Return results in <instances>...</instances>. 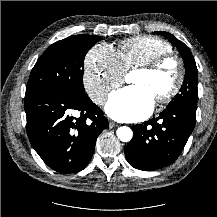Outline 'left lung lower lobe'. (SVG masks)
<instances>
[{
    "label": "left lung lower lobe",
    "mask_w": 217,
    "mask_h": 217,
    "mask_svg": "<svg viewBox=\"0 0 217 217\" xmlns=\"http://www.w3.org/2000/svg\"><path fill=\"white\" fill-rule=\"evenodd\" d=\"M196 108L167 107L158 117L133 126V138L125 147L130 165L143 171L166 167L178 158L193 131Z\"/></svg>",
    "instance_id": "left-lung-lower-lobe-1"
}]
</instances>
